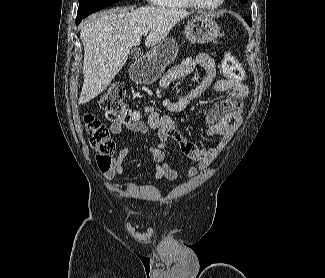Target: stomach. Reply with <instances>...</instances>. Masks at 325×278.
I'll use <instances>...</instances> for the list:
<instances>
[{"label":"stomach","mask_w":325,"mask_h":278,"mask_svg":"<svg viewBox=\"0 0 325 278\" xmlns=\"http://www.w3.org/2000/svg\"><path fill=\"white\" fill-rule=\"evenodd\" d=\"M186 39L193 44H204L214 41L220 35V27L207 15H197L185 26ZM178 45L172 38H165L153 48L145 61L133 69L131 78L136 83L152 84L164 72L176 57Z\"/></svg>","instance_id":"0dacf381"}]
</instances>
